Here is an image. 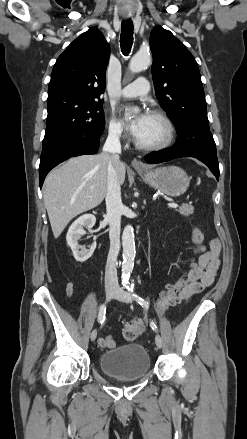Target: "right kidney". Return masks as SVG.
Wrapping results in <instances>:
<instances>
[{"label": "right kidney", "instance_id": "right-kidney-1", "mask_svg": "<svg viewBox=\"0 0 247 439\" xmlns=\"http://www.w3.org/2000/svg\"><path fill=\"white\" fill-rule=\"evenodd\" d=\"M95 222L96 217L94 215L84 214L72 223L67 232V244L70 246L73 256L78 262H85L88 260L96 248V242H93L89 246V249H86L85 247L81 248L78 244L80 238L86 233L84 228L91 229L95 225ZM80 248L81 250H79Z\"/></svg>", "mask_w": 247, "mask_h": 439}]
</instances>
